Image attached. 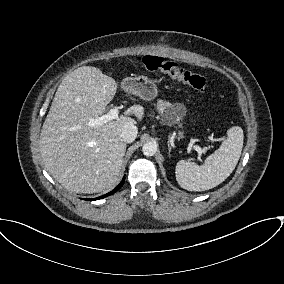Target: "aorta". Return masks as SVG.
Instances as JSON below:
<instances>
[{
	"label": "aorta",
	"instance_id": "aorta-1",
	"mask_svg": "<svg viewBox=\"0 0 284 284\" xmlns=\"http://www.w3.org/2000/svg\"><path fill=\"white\" fill-rule=\"evenodd\" d=\"M142 152L145 156H154L157 152V145L153 142H147L143 145Z\"/></svg>",
	"mask_w": 284,
	"mask_h": 284
}]
</instances>
